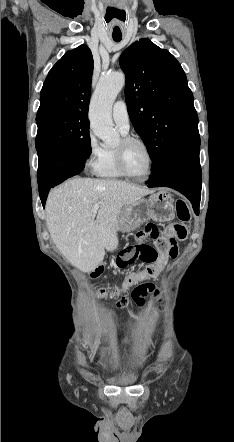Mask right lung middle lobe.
<instances>
[{"mask_svg": "<svg viewBox=\"0 0 234 442\" xmlns=\"http://www.w3.org/2000/svg\"><path fill=\"white\" fill-rule=\"evenodd\" d=\"M36 150L66 148L87 159L91 154L88 114L53 113L36 117Z\"/></svg>", "mask_w": 234, "mask_h": 442, "instance_id": "1", "label": "right lung middle lobe"}]
</instances>
